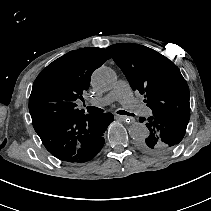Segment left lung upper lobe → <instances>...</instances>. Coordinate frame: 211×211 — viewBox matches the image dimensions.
Segmentation results:
<instances>
[{
	"label": "left lung upper lobe",
	"mask_w": 211,
	"mask_h": 211,
	"mask_svg": "<svg viewBox=\"0 0 211 211\" xmlns=\"http://www.w3.org/2000/svg\"><path fill=\"white\" fill-rule=\"evenodd\" d=\"M115 63L131 88L144 95L152 110L146 121L149 136L142 148L153 154L169 152L180 145L190 117V93L179 68L157 51L134 43L109 46Z\"/></svg>",
	"instance_id": "obj_1"
}]
</instances>
